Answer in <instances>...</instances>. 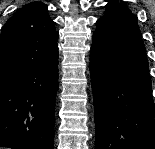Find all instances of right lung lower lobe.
Wrapping results in <instances>:
<instances>
[{"mask_svg":"<svg viewBox=\"0 0 155 149\" xmlns=\"http://www.w3.org/2000/svg\"><path fill=\"white\" fill-rule=\"evenodd\" d=\"M58 56L0 80V147L53 149Z\"/></svg>","mask_w":155,"mask_h":149,"instance_id":"98d812e1","label":"right lung lower lobe"}]
</instances>
